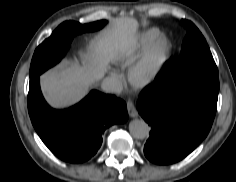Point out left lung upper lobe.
Listing matches in <instances>:
<instances>
[{"label": "left lung upper lobe", "mask_w": 236, "mask_h": 182, "mask_svg": "<svg viewBox=\"0 0 236 182\" xmlns=\"http://www.w3.org/2000/svg\"><path fill=\"white\" fill-rule=\"evenodd\" d=\"M182 23L187 34L180 56L166 63L162 76L154 84L161 81L164 89L196 87L218 92V69L205 38L191 21Z\"/></svg>", "instance_id": "left-lung-upper-lobe-1"}]
</instances>
